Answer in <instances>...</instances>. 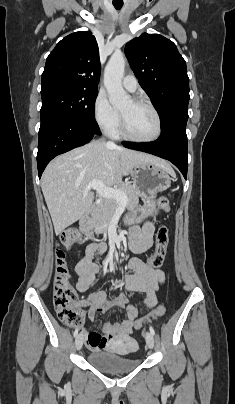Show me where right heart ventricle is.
Wrapping results in <instances>:
<instances>
[{"instance_id":"right-heart-ventricle-1","label":"right heart ventricle","mask_w":235,"mask_h":404,"mask_svg":"<svg viewBox=\"0 0 235 404\" xmlns=\"http://www.w3.org/2000/svg\"><path fill=\"white\" fill-rule=\"evenodd\" d=\"M114 137H120L122 136L121 131L119 129L116 130L115 133L112 134Z\"/></svg>"}]
</instances>
